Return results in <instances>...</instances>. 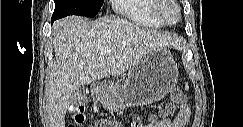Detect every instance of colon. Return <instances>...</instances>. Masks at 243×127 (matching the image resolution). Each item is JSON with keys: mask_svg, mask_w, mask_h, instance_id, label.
Returning <instances> with one entry per match:
<instances>
[{"mask_svg": "<svg viewBox=\"0 0 243 127\" xmlns=\"http://www.w3.org/2000/svg\"><path fill=\"white\" fill-rule=\"evenodd\" d=\"M173 100L179 105L185 103V96L179 89L176 87L172 92ZM85 111L86 107L83 103L72 104L69 108V112L72 119V124L69 127H81L85 122Z\"/></svg>", "mask_w": 243, "mask_h": 127, "instance_id": "obj_1", "label": "colon"}]
</instances>
